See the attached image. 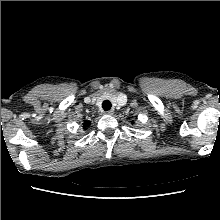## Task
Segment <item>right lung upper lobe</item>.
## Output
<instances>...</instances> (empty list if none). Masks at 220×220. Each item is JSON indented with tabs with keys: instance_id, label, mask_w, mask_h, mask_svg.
Instances as JSON below:
<instances>
[{
	"instance_id": "1",
	"label": "right lung upper lobe",
	"mask_w": 220,
	"mask_h": 220,
	"mask_svg": "<svg viewBox=\"0 0 220 220\" xmlns=\"http://www.w3.org/2000/svg\"><path fill=\"white\" fill-rule=\"evenodd\" d=\"M83 124L85 127H88L90 125V121H85Z\"/></svg>"
}]
</instances>
